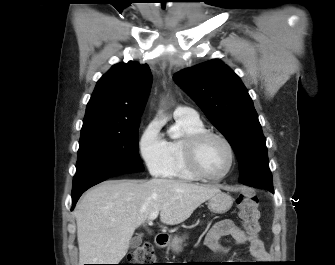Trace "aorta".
I'll use <instances>...</instances> for the list:
<instances>
[{"label": "aorta", "mask_w": 335, "mask_h": 265, "mask_svg": "<svg viewBox=\"0 0 335 265\" xmlns=\"http://www.w3.org/2000/svg\"><path fill=\"white\" fill-rule=\"evenodd\" d=\"M168 134H169V136L171 137V138H173V139H175V138H177L179 135H178V133L175 131V130H172V129H170L169 131H168Z\"/></svg>", "instance_id": "762f6f07"}]
</instances>
